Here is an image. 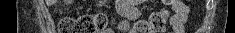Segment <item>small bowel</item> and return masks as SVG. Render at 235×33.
<instances>
[{
  "label": "small bowel",
  "mask_w": 235,
  "mask_h": 33,
  "mask_svg": "<svg viewBox=\"0 0 235 33\" xmlns=\"http://www.w3.org/2000/svg\"><path fill=\"white\" fill-rule=\"evenodd\" d=\"M139 3H142L141 1ZM173 15L170 18V25L174 33H184L187 23L189 9L186 4L181 1L173 0L172 2ZM127 5H124L126 7ZM135 5L134 7H137ZM104 33H113L112 30H106Z\"/></svg>",
  "instance_id": "small-bowel-1"
}]
</instances>
